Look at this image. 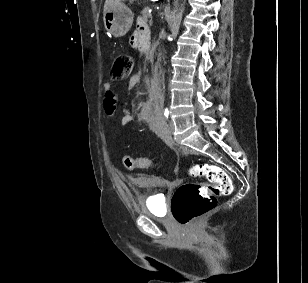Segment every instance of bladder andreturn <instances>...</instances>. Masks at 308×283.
I'll return each instance as SVG.
<instances>
[{"label": "bladder", "instance_id": "31cf9c89", "mask_svg": "<svg viewBox=\"0 0 308 283\" xmlns=\"http://www.w3.org/2000/svg\"><path fill=\"white\" fill-rule=\"evenodd\" d=\"M143 212L153 217H163L164 201L160 193H152L143 200Z\"/></svg>", "mask_w": 308, "mask_h": 283}]
</instances>
